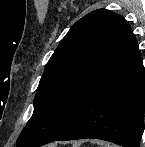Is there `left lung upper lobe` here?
<instances>
[{"instance_id":"5c2ea615","label":"left lung upper lobe","mask_w":145,"mask_h":147,"mask_svg":"<svg viewBox=\"0 0 145 147\" xmlns=\"http://www.w3.org/2000/svg\"><path fill=\"white\" fill-rule=\"evenodd\" d=\"M124 24L122 16L98 9L71 27L48 61L17 147L42 146L70 126Z\"/></svg>"}]
</instances>
